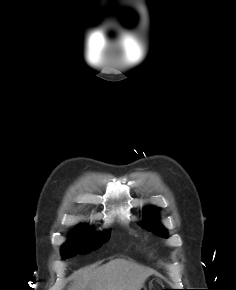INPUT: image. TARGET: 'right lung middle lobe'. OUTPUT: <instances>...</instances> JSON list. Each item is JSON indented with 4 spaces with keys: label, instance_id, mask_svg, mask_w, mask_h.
<instances>
[{
    "label": "right lung middle lobe",
    "instance_id": "1",
    "mask_svg": "<svg viewBox=\"0 0 236 290\" xmlns=\"http://www.w3.org/2000/svg\"><path fill=\"white\" fill-rule=\"evenodd\" d=\"M77 234H72L70 240L61 248L63 259L78 254H87L98 249L110 238V232L95 233L82 226Z\"/></svg>",
    "mask_w": 236,
    "mask_h": 290
}]
</instances>
